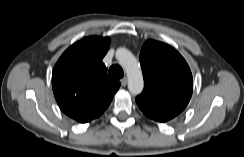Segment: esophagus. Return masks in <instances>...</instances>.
Listing matches in <instances>:
<instances>
[{"label": "esophagus", "mask_w": 244, "mask_h": 157, "mask_svg": "<svg viewBox=\"0 0 244 157\" xmlns=\"http://www.w3.org/2000/svg\"><path fill=\"white\" fill-rule=\"evenodd\" d=\"M121 85L124 87L127 85V78L126 77L121 79Z\"/></svg>", "instance_id": "esophagus-1"}]
</instances>
